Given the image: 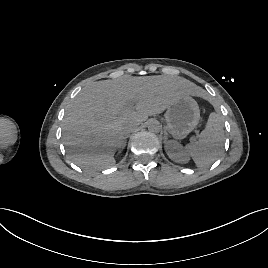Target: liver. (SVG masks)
<instances>
[{
	"instance_id": "1",
	"label": "liver",
	"mask_w": 268,
	"mask_h": 268,
	"mask_svg": "<svg viewBox=\"0 0 268 268\" xmlns=\"http://www.w3.org/2000/svg\"><path fill=\"white\" fill-rule=\"evenodd\" d=\"M185 95H197L191 82L163 75H125L85 86L68 105L63 119V143L71 160L84 169L113 166L126 125H140ZM130 103L135 110L125 111Z\"/></svg>"
}]
</instances>
